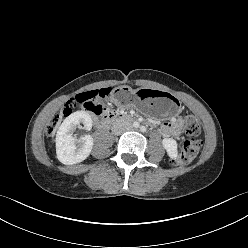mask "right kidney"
Here are the masks:
<instances>
[{"mask_svg": "<svg viewBox=\"0 0 248 248\" xmlns=\"http://www.w3.org/2000/svg\"><path fill=\"white\" fill-rule=\"evenodd\" d=\"M84 124L86 130L92 127V119L85 111H77L69 115L60 125L56 135V153L58 160L65 165L77 164L84 161L93 148L91 135H84L80 144L76 146V138L73 135L76 126Z\"/></svg>", "mask_w": 248, "mask_h": 248, "instance_id": "1", "label": "right kidney"}]
</instances>
